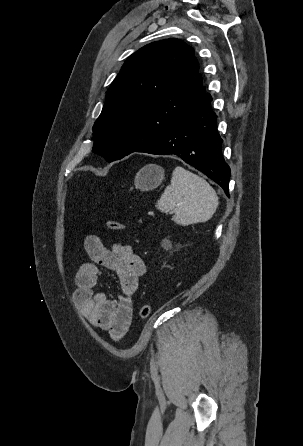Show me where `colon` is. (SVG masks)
Masks as SVG:
<instances>
[{
  "mask_svg": "<svg viewBox=\"0 0 303 446\" xmlns=\"http://www.w3.org/2000/svg\"><path fill=\"white\" fill-rule=\"evenodd\" d=\"M105 224L110 230H113V231L122 232L125 230V225L119 221L114 220V219H107L105 221ZM150 312H151V307L147 304L143 305L140 308L139 316L142 319H145L150 315Z\"/></svg>",
  "mask_w": 303,
  "mask_h": 446,
  "instance_id": "1",
  "label": "colon"
}]
</instances>
